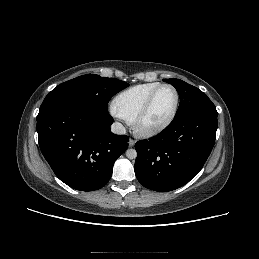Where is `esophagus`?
Returning <instances> with one entry per match:
<instances>
[{
  "label": "esophagus",
  "instance_id": "obj_1",
  "mask_svg": "<svg viewBox=\"0 0 259 259\" xmlns=\"http://www.w3.org/2000/svg\"><path fill=\"white\" fill-rule=\"evenodd\" d=\"M128 144H129V147H133L135 145V141L133 139H130Z\"/></svg>",
  "mask_w": 259,
  "mask_h": 259
}]
</instances>
